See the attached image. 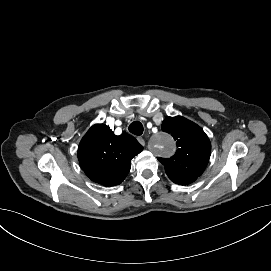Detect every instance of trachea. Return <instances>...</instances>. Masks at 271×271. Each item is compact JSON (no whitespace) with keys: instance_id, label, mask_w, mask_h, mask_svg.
Masks as SVG:
<instances>
[{"instance_id":"obj_1","label":"trachea","mask_w":271,"mask_h":271,"mask_svg":"<svg viewBox=\"0 0 271 271\" xmlns=\"http://www.w3.org/2000/svg\"><path fill=\"white\" fill-rule=\"evenodd\" d=\"M128 130L132 134L140 136L143 133V125L139 121H134L130 124Z\"/></svg>"}]
</instances>
